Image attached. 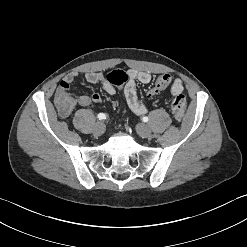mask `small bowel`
I'll use <instances>...</instances> for the list:
<instances>
[{
    "label": "small bowel",
    "mask_w": 247,
    "mask_h": 247,
    "mask_svg": "<svg viewBox=\"0 0 247 247\" xmlns=\"http://www.w3.org/2000/svg\"><path fill=\"white\" fill-rule=\"evenodd\" d=\"M129 80L126 86L123 88L124 96L126 102L133 113L136 115H142L147 112V107L144 103L140 102L137 97L136 85L137 83L148 84L152 76L148 72H139L136 70L129 71ZM76 74L71 73L68 74L60 83V88H67L69 90L70 84L75 80ZM85 80L91 84H101L104 91L109 95H114L116 93L115 85L111 84L106 76L100 72H89L85 74ZM171 82V78H170ZM129 92L131 96H129ZM171 95L176 96L178 94H182L183 85L180 79L176 78L173 80L170 89ZM102 100L101 96L98 93H94L92 95H81L79 97L74 98L73 105L70 110L67 112H63L62 115H68L75 106H89L93 103H100Z\"/></svg>",
    "instance_id": "small-bowel-1"
}]
</instances>
